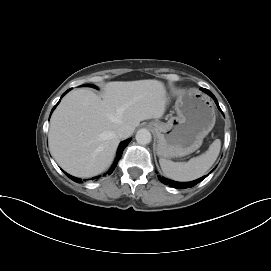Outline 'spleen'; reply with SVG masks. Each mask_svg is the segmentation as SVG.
<instances>
[{
  "label": "spleen",
  "mask_w": 271,
  "mask_h": 271,
  "mask_svg": "<svg viewBox=\"0 0 271 271\" xmlns=\"http://www.w3.org/2000/svg\"><path fill=\"white\" fill-rule=\"evenodd\" d=\"M220 149L221 141L216 139L204 154L191 158L188 162H173L160 158L159 163L166 177L180 182L192 181L205 175L216 161Z\"/></svg>",
  "instance_id": "3e777b00"
}]
</instances>
